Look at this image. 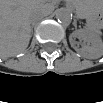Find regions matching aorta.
Here are the masks:
<instances>
[{"label":"aorta","instance_id":"obj_1","mask_svg":"<svg viewBox=\"0 0 103 103\" xmlns=\"http://www.w3.org/2000/svg\"><path fill=\"white\" fill-rule=\"evenodd\" d=\"M55 17L62 25H69L72 21V13L67 8H59L56 10Z\"/></svg>","mask_w":103,"mask_h":103}]
</instances>
